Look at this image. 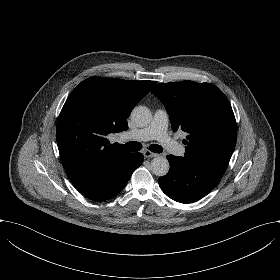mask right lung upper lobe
Instances as JSON below:
<instances>
[{"label":"right lung upper lobe","instance_id":"right-lung-upper-lobe-1","mask_svg":"<svg viewBox=\"0 0 280 280\" xmlns=\"http://www.w3.org/2000/svg\"><path fill=\"white\" fill-rule=\"evenodd\" d=\"M155 83L91 77L69 95L58 117L56 140L64 170L84 196L131 158L132 153L108 145L106 136L128 129L126 119Z\"/></svg>","mask_w":280,"mask_h":280}]
</instances>
